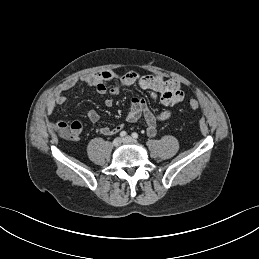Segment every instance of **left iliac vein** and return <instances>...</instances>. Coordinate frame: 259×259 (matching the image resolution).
<instances>
[{"label":"left iliac vein","mask_w":259,"mask_h":259,"mask_svg":"<svg viewBox=\"0 0 259 259\" xmlns=\"http://www.w3.org/2000/svg\"><path fill=\"white\" fill-rule=\"evenodd\" d=\"M123 142L124 143H135L136 140H134L132 137L130 136H126L124 139H123Z\"/></svg>","instance_id":"1"}]
</instances>
